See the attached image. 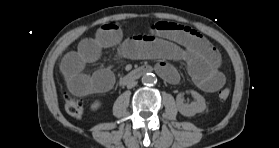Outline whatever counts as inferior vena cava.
Masks as SVG:
<instances>
[{"mask_svg": "<svg viewBox=\"0 0 279 148\" xmlns=\"http://www.w3.org/2000/svg\"><path fill=\"white\" fill-rule=\"evenodd\" d=\"M136 85H137V81L132 80V81L128 82L127 88L131 89V88L135 87Z\"/></svg>", "mask_w": 279, "mask_h": 148, "instance_id": "1", "label": "inferior vena cava"}]
</instances>
